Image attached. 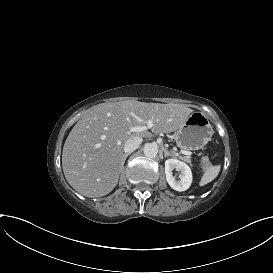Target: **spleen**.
Listing matches in <instances>:
<instances>
[{"label": "spleen", "mask_w": 273, "mask_h": 273, "mask_svg": "<svg viewBox=\"0 0 273 273\" xmlns=\"http://www.w3.org/2000/svg\"><path fill=\"white\" fill-rule=\"evenodd\" d=\"M218 172L219 168L217 167L209 168L202 179L201 185H205L212 181L218 175Z\"/></svg>", "instance_id": "obj_1"}]
</instances>
